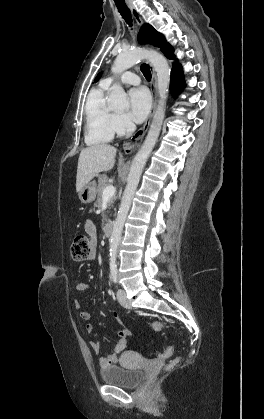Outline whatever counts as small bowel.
<instances>
[{
    "label": "small bowel",
    "instance_id": "small-bowel-1",
    "mask_svg": "<svg viewBox=\"0 0 264 419\" xmlns=\"http://www.w3.org/2000/svg\"><path fill=\"white\" fill-rule=\"evenodd\" d=\"M85 231L90 239L91 253L89 260H92L96 254L97 247V228L92 221H87L85 224ZM78 292H86L90 290L91 286L87 282H78L75 286ZM76 309L79 312V316L84 321H89L91 319V314L89 311L85 310L82 307V304L79 300L75 302ZM86 330L88 333L93 334L95 332L94 326L91 323L86 324ZM130 334V330L126 326H122L115 334L116 341L114 344L113 352L108 355L102 354V346L99 342L92 341L91 347L96 354L100 355V364L102 367H109L117 364L119 362V355L126 348V337Z\"/></svg>",
    "mask_w": 264,
    "mask_h": 419
}]
</instances>
